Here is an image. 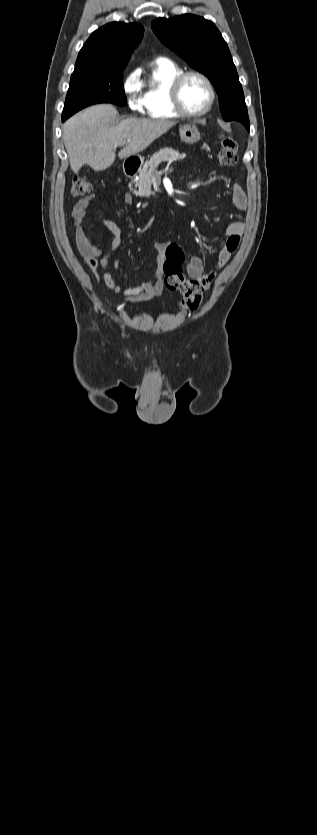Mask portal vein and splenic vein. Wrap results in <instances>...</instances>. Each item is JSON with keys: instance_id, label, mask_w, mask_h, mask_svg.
Here are the masks:
<instances>
[{"instance_id": "1", "label": "portal vein and splenic vein", "mask_w": 317, "mask_h": 835, "mask_svg": "<svg viewBox=\"0 0 317 835\" xmlns=\"http://www.w3.org/2000/svg\"><path fill=\"white\" fill-rule=\"evenodd\" d=\"M129 141H130V140H128L127 142H129ZM122 145H123V144H121L120 146H122Z\"/></svg>"}]
</instances>
